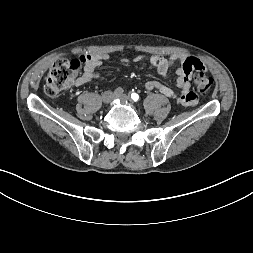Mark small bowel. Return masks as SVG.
Instances as JSON below:
<instances>
[{"label": "small bowel", "instance_id": "c3829d8e", "mask_svg": "<svg viewBox=\"0 0 253 253\" xmlns=\"http://www.w3.org/2000/svg\"><path fill=\"white\" fill-rule=\"evenodd\" d=\"M109 56L105 53H93L87 57L84 73L75 81L76 86H82L87 84L93 79L99 77L97 68H99L103 62L108 60ZM143 56L138 55L134 57V62H140L143 60ZM187 58L183 54H175L169 58L153 55L149 58L151 66L161 75L166 76L171 67L179 63L177 73V87L181 90V94L177 97L178 101L192 110H197L200 107L199 96L194 91H190V78L192 75V69L186 64ZM123 63H127L128 59H122ZM145 89L148 91L157 90L161 94L169 98H175L176 93L169 86L157 81L149 80L145 83Z\"/></svg>", "mask_w": 253, "mask_h": 253}]
</instances>
